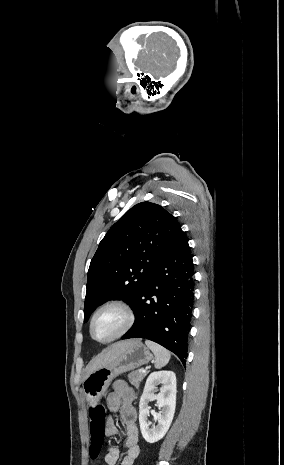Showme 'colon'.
<instances>
[{"label":"colon","mask_w":284,"mask_h":465,"mask_svg":"<svg viewBox=\"0 0 284 465\" xmlns=\"http://www.w3.org/2000/svg\"><path fill=\"white\" fill-rule=\"evenodd\" d=\"M89 411L91 413L89 414L88 436L91 440L86 452L90 455V461H97L101 452L100 448L105 447V440L101 438L107 436L108 422L106 421V414L100 413V405L91 404Z\"/></svg>","instance_id":"1"}]
</instances>
